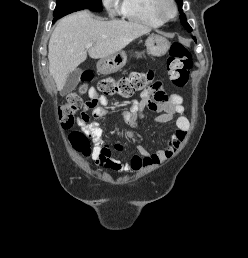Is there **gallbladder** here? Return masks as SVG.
<instances>
[{"label":"gallbladder","mask_w":248,"mask_h":258,"mask_svg":"<svg viewBox=\"0 0 248 258\" xmlns=\"http://www.w3.org/2000/svg\"><path fill=\"white\" fill-rule=\"evenodd\" d=\"M81 73H82L81 69H75L74 71L68 74L66 83L63 89L61 90L62 95H66L76 88V86L80 81Z\"/></svg>","instance_id":"obj_1"}]
</instances>
